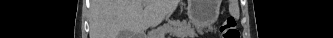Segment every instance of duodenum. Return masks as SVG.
<instances>
[{"label":"duodenum","mask_w":333,"mask_h":38,"mask_svg":"<svg viewBox=\"0 0 333 38\" xmlns=\"http://www.w3.org/2000/svg\"><path fill=\"white\" fill-rule=\"evenodd\" d=\"M141 37L143 38V37H144V34H142Z\"/></svg>","instance_id":"1"}]
</instances>
